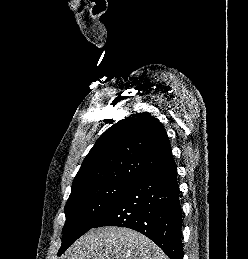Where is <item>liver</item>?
Listing matches in <instances>:
<instances>
[{
  "instance_id": "liver-1",
  "label": "liver",
  "mask_w": 248,
  "mask_h": 259,
  "mask_svg": "<svg viewBox=\"0 0 248 259\" xmlns=\"http://www.w3.org/2000/svg\"><path fill=\"white\" fill-rule=\"evenodd\" d=\"M64 259H169L149 238L129 228H93L81 236Z\"/></svg>"
}]
</instances>
